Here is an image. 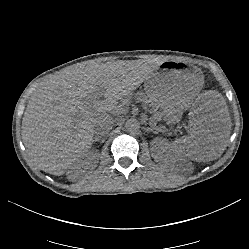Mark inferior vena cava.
<instances>
[{
  "label": "inferior vena cava",
  "instance_id": "1",
  "mask_svg": "<svg viewBox=\"0 0 249 249\" xmlns=\"http://www.w3.org/2000/svg\"><path fill=\"white\" fill-rule=\"evenodd\" d=\"M114 119L109 114H103L101 119L93 124V131L95 133H107L113 128Z\"/></svg>",
  "mask_w": 249,
  "mask_h": 249
}]
</instances>
